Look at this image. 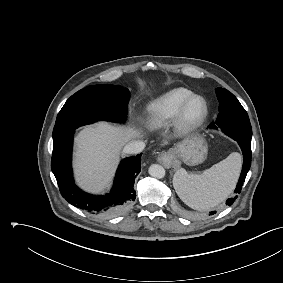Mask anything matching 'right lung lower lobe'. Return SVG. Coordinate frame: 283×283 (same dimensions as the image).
Masks as SVG:
<instances>
[{"instance_id": "right-lung-lower-lobe-1", "label": "right lung lower lobe", "mask_w": 283, "mask_h": 283, "mask_svg": "<svg viewBox=\"0 0 283 283\" xmlns=\"http://www.w3.org/2000/svg\"><path fill=\"white\" fill-rule=\"evenodd\" d=\"M74 131L53 142L51 169L62 196L73 206L99 216L122 213L135 200L134 179L141 170V155L121 161L109 194L94 196L81 191L74 183L71 159Z\"/></svg>"}]
</instances>
